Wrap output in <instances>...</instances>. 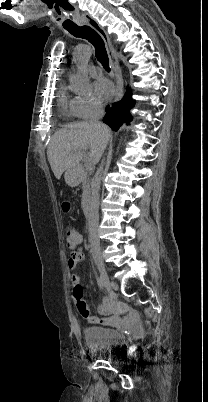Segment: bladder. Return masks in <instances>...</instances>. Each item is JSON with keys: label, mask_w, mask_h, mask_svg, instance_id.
<instances>
[{"label": "bladder", "mask_w": 208, "mask_h": 402, "mask_svg": "<svg viewBox=\"0 0 208 402\" xmlns=\"http://www.w3.org/2000/svg\"><path fill=\"white\" fill-rule=\"evenodd\" d=\"M84 341L90 352L108 351L105 356L110 358L120 352L125 336L116 330L102 326L84 327Z\"/></svg>", "instance_id": "obj_1"}]
</instances>
